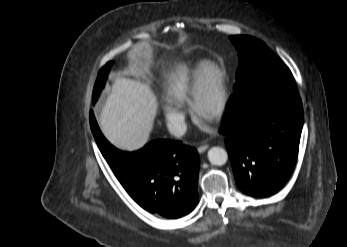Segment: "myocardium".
Segmentation results:
<instances>
[{
  "instance_id": "1",
  "label": "myocardium",
  "mask_w": 347,
  "mask_h": 247,
  "mask_svg": "<svg viewBox=\"0 0 347 247\" xmlns=\"http://www.w3.org/2000/svg\"><path fill=\"white\" fill-rule=\"evenodd\" d=\"M216 95V101L209 110L205 108V100L210 93ZM190 105L193 113L205 121L215 122L222 118L229 101L225 75L222 70L209 63L196 78L190 95Z\"/></svg>"
}]
</instances>
